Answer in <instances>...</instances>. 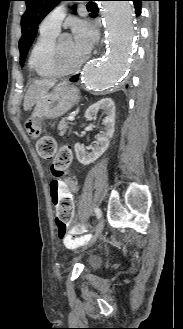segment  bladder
Listing matches in <instances>:
<instances>
[{
  "mask_svg": "<svg viewBox=\"0 0 183 329\" xmlns=\"http://www.w3.org/2000/svg\"><path fill=\"white\" fill-rule=\"evenodd\" d=\"M97 263H98V261H97L96 259H93V260L91 261L92 266L97 265Z\"/></svg>",
  "mask_w": 183,
  "mask_h": 329,
  "instance_id": "bladder-1",
  "label": "bladder"
}]
</instances>
